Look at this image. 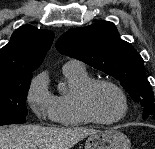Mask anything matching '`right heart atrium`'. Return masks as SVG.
Wrapping results in <instances>:
<instances>
[{
    "mask_svg": "<svg viewBox=\"0 0 155 149\" xmlns=\"http://www.w3.org/2000/svg\"><path fill=\"white\" fill-rule=\"evenodd\" d=\"M26 100L38 119L54 120L55 96L48 88L46 72L38 74L30 83Z\"/></svg>",
    "mask_w": 155,
    "mask_h": 149,
    "instance_id": "right-heart-atrium-1",
    "label": "right heart atrium"
}]
</instances>
